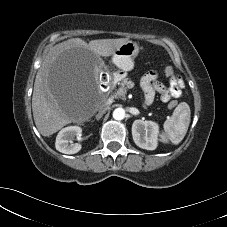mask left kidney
Segmentation results:
<instances>
[{"instance_id":"left-kidney-1","label":"left kidney","mask_w":227,"mask_h":227,"mask_svg":"<svg viewBox=\"0 0 227 227\" xmlns=\"http://www.w3.org/2000/svg\"><path fill=\"white\" fill-rule=\"evenodd\" d=\"M159 126L148 120H135L132 124V136L135 144L146 150H155L158 145Z\"/></svg>"}]
</instances>
